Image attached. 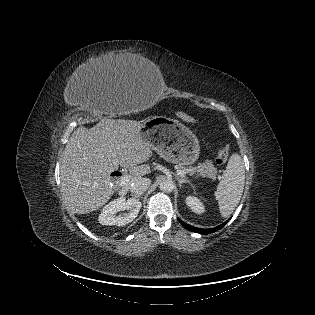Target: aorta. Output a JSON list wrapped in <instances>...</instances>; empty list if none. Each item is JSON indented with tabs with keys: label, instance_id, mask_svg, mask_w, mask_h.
I'll use <instances>...</instances> for the list:
<instances>
[{
	"label": "aorta",
	"instance_id": "obj_1",
	"mask_svg": "<svg viewBox=\"0 0 315 315\" xmlns=\"http://www.w3.org/2000/svg\"><path fill=\"white\" fill-rule=\"evenodd\" d=\"M174 187H175V184L171 179H165L159 185V188L161 191L168 192V193L172 192Z\"/></svg>",
	"mask_w": 315,
	"mask_h": 315
}]
</instances>
